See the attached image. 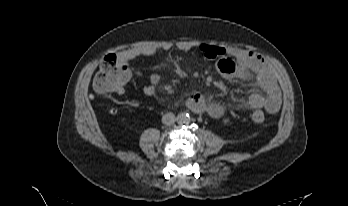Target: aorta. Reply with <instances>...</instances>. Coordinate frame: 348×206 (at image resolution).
I'll list each match as a JSON object with an SVG mask.
<instances>
[{"label": "aorta", "mask_w": 348, "mask_h": 206, "mask_svg": "<svg viewBox=\"0 0 348 206\" xmlns=\"http://www.w3.org/2000/svg\"><path fill=\"white\" fill-rule=\"evenodd\" d=\"M177 122L181 125L188 124L190 122V116L188 113L182 112L177 116Z\"/></svg>", "instance_id": "1"}]
</instances>
